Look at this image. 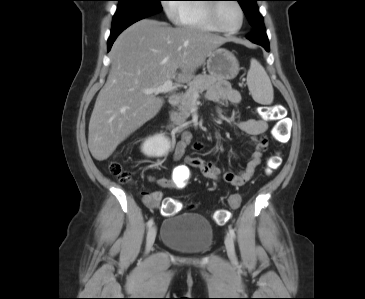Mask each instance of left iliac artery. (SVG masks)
Returning a JSON list of instances; mask_svg holds the SVG:
<instances>
[{
    "label": "left iliac artery",
    "instance_id": "1",
    "mask_svg": "<svg viewBox=\"0 0 365 299\" xmlns=\"http://www.w3.org/2000/svg\"><path fill=\"white\" fill-rule=\"evenodd\" d=\"M229 233L232 236V238H235V231L233 228H231V227L229 228Z\"/></svg>",
    "mask_w": 365,
    "mask_h": 299
}]
</instances>
